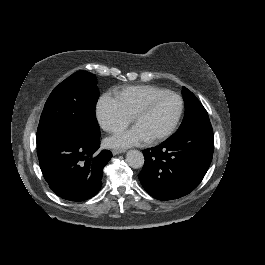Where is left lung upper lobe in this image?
Returning <instances> with one entry per match:
<instances>
[{
  "mask_svg": "<svg viewBox=\"0 0 265 265\" xmlns=\"http://www.w3.org/2000/svg\"><path fill=\"white\" fill-rule=\"evenodd\" d=\"M182 94L185 103V115L175 134L181 133L197 125L210 122L207 111L197 97L185 87H183Z\"/></svg>",
  "mask_w": 265,
  "mask_h": 265,
  "instance_id": "1",
  "label": "left lung upper lobe"
}]
</instances>
